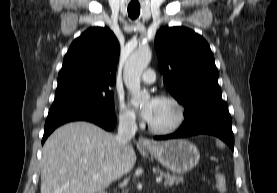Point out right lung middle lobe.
Listing matches in <instances>:
<instances>
[{
    "label": "right lung middle lobe",
    "instance_id": "right-lung-middle-lobe-1",
    "mask_svg": "<svg viewBox=\"0 0 277 193\" xmlns=\"http://www.w3.org/2000/svg\"><path fill=\"white\" fill-rule=\"evenodd\" d=\"M54 102H74L114 113V96L108 85L80 87L56 92Z\"/></svg>",
    "mask_w": 277,
    "mask_h": 193
}]
</instances>
